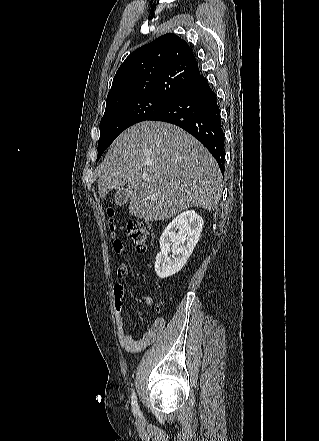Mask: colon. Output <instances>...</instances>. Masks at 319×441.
<instances>
[{
  "label": "colon",
  "instance_id": "obj_1",
  "mask_svg": "<svg viewBox=\"0 0 319 441\" xmlns=\"http://www.w3.org/2000/svg\"><path fill=\"white\" fill-rule=\"evenodd\" d=\"M110 218V230L114 238V248L119 249L122 246L121 240L117 237L118 227L113 223V210H107ZM128 235L138 252H144L147 247V241L150 235V225L148 222L139 219H132L127 225Z\"/></svg>",
  "mask_w": 319,
  "mask_h": 441
}]
</instances>
